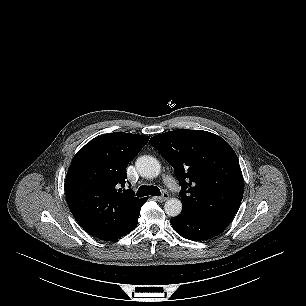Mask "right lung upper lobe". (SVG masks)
Here are the masks:
<instances>
[{"mask_svg":"<svg viewBox=\"0 0 306 306\" xmlns=\"http://www.w3.org/2000/svg\"><path fill=\"white\" fill-rule=\"evenodd\" d=\"M149 136L124 132L98 136L74 156L65 180L68 206L89 234L110 240L129 222L145 198L122 189L126 168Z\"/></svg>","mask_w":306,"mask_h":306,"instance_id":"1","label":"right lung upper lobe"}]
</instances>
